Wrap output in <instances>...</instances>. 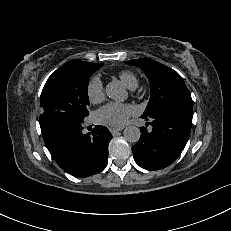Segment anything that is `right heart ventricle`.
Segmentation results:
<instances>
[{"label":"right heart ventricle","mask_w":231,"mask_h":231,"mask_svg":"<svg viewBox=\"0 0 231 231\" xmlns=\"http://www.w3.org/2000/svg\"><path fill=\"white\" fill-rule=\"evenodd\" d=\"M119 78L129 89H134L137 87L138 80L132 72L122 71L119 73Z\"/></svg>","instance_id":"obj_1"}]
</instances>
